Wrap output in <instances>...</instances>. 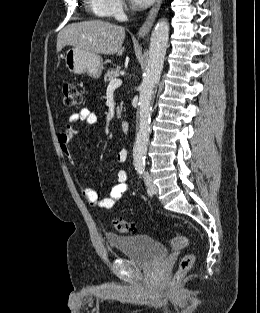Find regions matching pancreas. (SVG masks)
I'll return each mask as SVG.
<instances>
[{
	"mask_svg": "<svg viewBox=\"0 0 260 313\" xmlns=\"http://www.w3.org/2000/svg\"><path fill=\"white\" fill-rule=\"evenodd\" d=\"M121 67L117 66L116 68L110 69L107 71V73L104 76V81L105 82H110L112 79H115L119 76V71ZM122 109L117 107L116 113H117V118H120L121 116Z\"/></svg>",
	"mask_w": 260,
	"mask_h": 313,
	"instance_id": "pancreas-1",
	"label": "pancreas"
}]
</instances>
